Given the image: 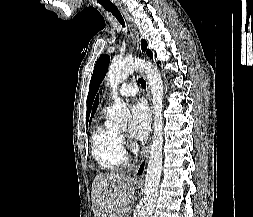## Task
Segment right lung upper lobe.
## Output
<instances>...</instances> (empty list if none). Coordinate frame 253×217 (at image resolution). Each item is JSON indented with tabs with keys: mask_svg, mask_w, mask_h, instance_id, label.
I'll use <instances>...</instances> for the list:
<instances>
[{
	"mask_svg": "<svg viewBox=\"0 0 253 217\" xmlns=\"http://www.w3.org/2000/svg\"><path fill=\"white\" fill-rule=\"evenodd\" d=\"M98 98L99 97L97 96V98L95 100V103H94V106H93L92 117H93V115H94V113H95V111L97 109V106H98ZM90 122H91V120H90Z\"/></svg>",
	"mask_w": 253,
	"mask_h": 217,
	"instance_id": "right-lung-upper-lobe-1",
	"label": "right lung upper lobe"
}]
</instances>
